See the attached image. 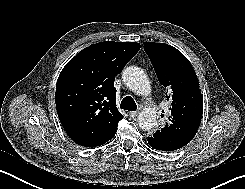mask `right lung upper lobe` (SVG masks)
<instances>
[{"label":"right lung upper lobe","mask_w":245,"mask_h":189,"mask_svg":"<svg viewBox=\"0 0 245 189\" xmlns=\"http://www.w3.org/2000/svg\"><path fill=\"white\" fill-rule=\"evenodd\" d=\"M139 49L136 42H100L81 50L63 68L56 85V110L75 143L94 147L115 135L123 118L115 102V76Z\"/></svg>","instance_id":"1"}]
</instances>
